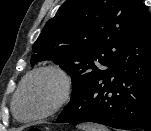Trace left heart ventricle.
<instances>
[{
	"mask_svg": "<svg viewBox=\"0 0 151 131\" xmlns=\"http://www.w3.org/2000/svg\"><path fill=\"white\" fill-rule=\"evenodd\" d=\"M59 91V83L54 77L35 78L27 85L19 99V114L22 117H29L46 110L57 99Z\"/></svg>",
	"mask_w": 151,
	"mask_h": 131,
	"instance_id": "b2bd125f",
	"label": "left heart ventricle"
}]
</instances>
